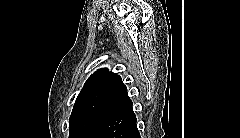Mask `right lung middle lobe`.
Returning <instances> with one entry per match:
<instances>
[{
    "label": "right lung middle lobe",
    "instance_id": "obj_1",
    "mask_svg": "<svg viewBox=\"0 0 240 138\" xmlns=\"http://www.w3.org/2000/svg\"><path fill=\"white\" fill-rule=\"evenodd\" d=\"M106 117L108 115L102 113H84L71 116L69 120V138H86Z\"/></svg>",
    "mask_w": 240,
    "mask_h": 138
}]
</instances>
